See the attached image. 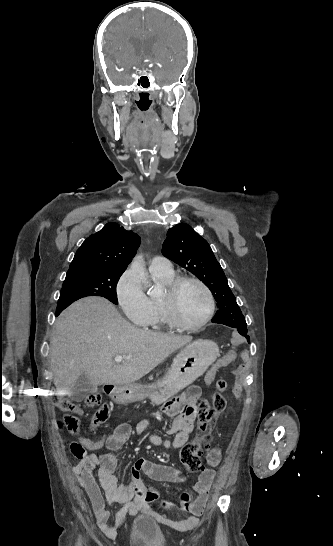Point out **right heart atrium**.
I'll use <instances>...</instances> for the list:
<instances>
[{"mask_svg":"<svg viewBox=\"0 0 333 546\" xmlns=\"http://www.w3.org/2000/svg\"><path fill=\"white\" fill-rule=\"evenodd\" d=\"M115 297L124 315L133 323L143 325L149 319L152 308L132 270H126L115 286Z\"/></svg>","mask_w":333,"mask_h":546,"instance_id":"right-heart-atrium-1","label":"right heart atrium"}]
</instances>
